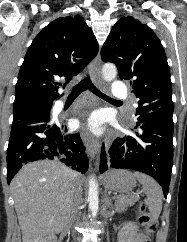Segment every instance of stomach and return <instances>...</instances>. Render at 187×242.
Returning a JSON list of instances; mask_svg holds the SVG:
<instances>
[{"label": "stomach", "mask_w": 187, "mask_h": 242, "mask_svg": "<svg viewBox=\"0 0 187 242\" xmlns=\"http://www.w3.org/2000/svg\"><path fill=\"white\" fill-rule=\"evenodd\" d=\"M105 189L128 193L136 186L135 176L127 170H111L102 179Z\"/></svg>", "instance_id": "stomach-1"}]
</instances>
